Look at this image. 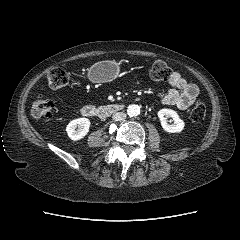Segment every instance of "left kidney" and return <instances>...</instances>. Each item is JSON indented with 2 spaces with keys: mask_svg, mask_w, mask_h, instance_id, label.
Listing matches in <instances>:
<instances>
[{
  "mask_svg": "<svg viewBox=\"0 0 240 240\" xmlns=\"http://www.w3.org/2000/svg\"><path fill=\"white\" fill-rule=\"evenodd\" d=\"M158 117L161 122V126L163 130L169 133H179L183 130L185 123L184 121L179 117L176 111L172 109H161L158 111ZM167 117H171L174 121V124H168L167 123Z\"/></svg>",
  "mask_w": 240,
  "mask_h": 240,
  "instance_id": "obj_1",
  "label": "left kidney"
}]
</instances>
